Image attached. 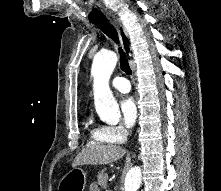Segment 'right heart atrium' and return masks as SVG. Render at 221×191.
Listing matches in <instances>:
<instances>
[{
    "label": "right heart atrium",
    "mask_w": 221,
    "mask_h": 191,
    "mask_svg": "<svg viewBox=\"0 0 221 191\" xmlns=\"http://www.w3.org/2000/svg\"><path fill=\"white\" fill-rule=\"evenodd\" d=\"M102 138L113 143H123L126 141L128 131L123 126H103L99 128Z\"/></svg>",
    "instance_id": "right-heart-atrium-1"
}]
</instances>
